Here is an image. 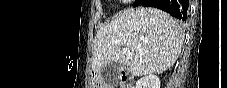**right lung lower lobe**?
<instances>
[{"instance_id":"right-lung-lower-lobe-1","label":"right lung lower lobe","mask_w":227,"mask_h":88,"mask_svg":"<svg viewBox=\"0 0 227 88\" xmlns=\"http://www.w3.org/2000/svg\"><path fill=\"white\" fill-rule=\"evenodd\" d=\"M138 5L159 8L183 21L188 17V0H141Z\"/></svg>"}]
</instances>
